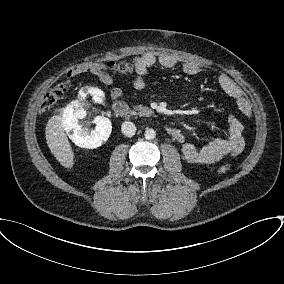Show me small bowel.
Returning <instances> with one entry per match:
<instances>
[{
	"label": "small bowel",
	"instance_id": "obj_1",
	"mask_svg": "<svg viewBox=\"0 0 284 284\" xmlns=\"http://www.w3.org/2000/svg\"><path fill=\"white\" fill-rule=\"evenodd\" d=\"M177 59L168 53H145L134 59L135 76L131 82V86L135 90H142L145 86V75L148 69L155 64H159L163 68H173L177 65ZM182 70L185 74L193 76L202 71L201 67L192 61H187L182 64ZM91 72L98 77L101 83L109 87L114 83V78L106 72L103 63H83L68 73L69 77L75 76L84 72ZM217 84L220 89L229 97L236 100V105L239 112L245 116H250V107L242 98L241 91L235 82L226 74H221L217 77ZM111 99L117 100L124 96V91L120 88L108 90ZM227 130L225 138L213 139L202 146H196L185 141L184 134L177 130V134L173 137L177 142L182 144L181 150L184 158L195 164H212L225 156H237L244 147V125L233 114L227 117Z\"/></svg>",
	"mask_w": 284,
	"mask_h": 284
}]
</instances>
